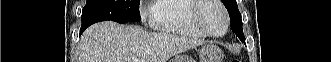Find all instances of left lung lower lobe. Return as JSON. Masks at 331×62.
I'll use <instances>...</instances> for the list:
<instances>
[{"instance_id": "1", "label": "left lung lower lobe", "mask_w": 331, "mask_h": 62, "mask_svg": "<svg viewBox=\"0 0 331 62\" xmlns=\"http://www.w3.org/2000/svg\"><path fill=\"white\" fill-rule=\"evenodd\" d=\"M231 29L233 32H235V34L242 40L244 41V35H243V30H241L240 28H238L237 26L231 24Z\"/></svg>"}]
</instances>
